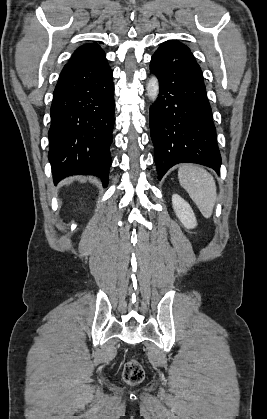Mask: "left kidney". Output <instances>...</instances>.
Returning <instances> with one entry per match:
<instances>
[{
  "label": "left kidney",
  "instance_id": "1",
  "mask_svg": "<svg viewBox=\"0 0 267 419\" xmlns=\"http://www.w3.org/2000/svg\"><path fill=\"white\" fill-rule=\"evenodd\" d=\"M172 206L176 216L186 229H193L197 226L196 217L191 206L182 197L173 194Z\"/></svg>",
  "mask_w": 267,
  "mask_h": 419
}]
</instances>
